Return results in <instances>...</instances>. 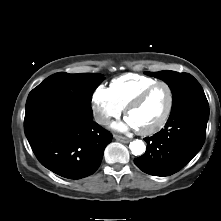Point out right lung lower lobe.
<instances>
[{"instance_id": "98d812e1", "label": "right lung lower lobe", "mask_w": 221, "mask_h": 221, "mask_svg": "<svg viewBox=\"0 0 221 221\" xmlns=\"http://www.w3.org/2000/svg\"><path fill=\"white\" fill-rule=\"evenodd\" d=\"M24 131L39 162L68 179L93 174L112 140L93 116L85 117L54 101L27 109Z\"/></svg>"}]
</instances>
